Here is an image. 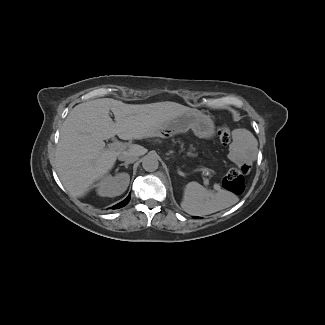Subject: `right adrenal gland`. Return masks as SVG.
<instances>
[{
  "mask_svg": "<svg viewBox=\"0 0 325 325\" xmlns=\"http://www.w3.org/2000/svg\"><path fill=\"white\" fill-rule=\"evenodd\" d=\"M120 166H125V168H128V163H122Z\"/></svg>",
  "mask_w": 325,
  "mask_h": 325,
  "instance_id": "right-adrenal-gland-1",
  "label": "right adrenal gland"
}]
</instances>
